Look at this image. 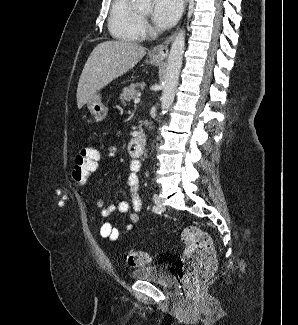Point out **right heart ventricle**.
<instances>
[{
    "mask_svg": "<svg viewBox=\"0 0 298 325\" xmlns=\"http://www.w3.org/2000/svg\"><path fill=\"white\" fill-rule=\"evenodd\" d=\"M133 0L114 1L108 18V30L111 37H118L119 41H142L136 31V16Z\"/></svg>",
    "mask_w": 298,
    "mask_h": 325,
    "instance_id": "1",
    "label": "right heart ventricle"
}]
</instances>
